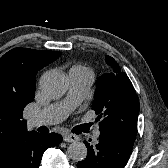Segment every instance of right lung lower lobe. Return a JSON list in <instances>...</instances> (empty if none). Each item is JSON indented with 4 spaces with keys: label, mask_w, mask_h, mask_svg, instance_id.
I'll use <instances>...</instances> for the list:
<instances>
[{
    "label": "right lung lower lobe",
    "mask_w": 168,
    "mask_h": 168,
    "mask_svg": "<svg viewBox=\"0 0 168 168\" xmlns=\"http://www.w3.org/2000/svg\"><path fill=\"white\" fill-rule=\"evenodd\" d=\"M62 141L59 134L25 132L14 139L0 155V168H39L44 151Z\"/></svg>",
    "instance_id": "98d812e1"
}]
</instances>
